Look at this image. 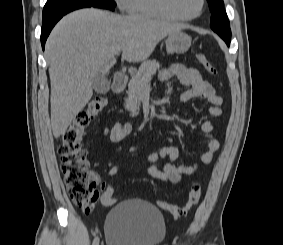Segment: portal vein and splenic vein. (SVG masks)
<instances>
[{
    "label": "portal vein and splenic vein",
    "mask_w": 283,
    "mask_h": 245,
    "mask_svg": "<svg viewBox=\"0 0 283 245\" xmlns=\"http://www.w3.org/2000/svg\"><path fill=\"white\" fill-rule=\"evenodd\" d=\"M120 51H118L116 54L119 55Z\"/></svg>",
    "instance_id": "18ae733b"
}]
</instances>
